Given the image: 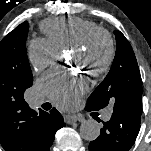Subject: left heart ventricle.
<instances>
[{
	"mask_svg": "<svg viewBox=\"0 0 151 151\" xmlns=\"http://www.w3.org/2000/svg\"><path fill=\"white\" fill-rule=\"evenodd\" d=\"M106 45L103 41H99L93 50L88 54L74 53V63L81 67H95L101 64L106 56Z\"/></svg>",
	"mask_w": 151,
	"mask_h": 151,
	"instance_id": "left-heart-ventricle-1",
	"label": "left heart ventricle"
}]
</instances>
